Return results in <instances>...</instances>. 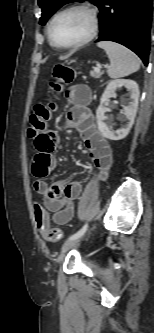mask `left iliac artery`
I'll return each instance as SVG.
<instances>
[{"mask_svg":"<svg viewBox=\"0 0 154 333\" xmlns=\"http://www.w3.org/2000/svg\"><path fill=\"white\" fill-rule=\"evenodd\" d=\"M88 224L86 223L78 232H76L75 234L71 235L68 240H72L75 239L77 237H80L81 235H83L86 230H87Z\"/></svg>","mask_w":154,"mask_h":333,"instance_id":"obj_1","label":"left iliac artery"}]
</instances>
